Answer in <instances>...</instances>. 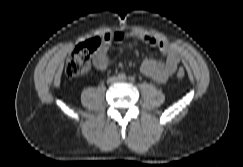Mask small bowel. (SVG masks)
<instances>
[{"label": "small bowel", "mask_w": 243, "mask_h": 167, "mask_svg": "<svg viewBox=\"0 0 243 167\" xmlns=\"http://www.w3.org/2000/svg\"><path fill=\"white\" fill-rule=\"evenodd\" d=\"M130 36L124 32H108L103 35V43L94 56V65L98 70L104 71L110 66L108 51L112 44L124 41ZM137 36L145 43L153 45L165 56V61L146 59L141 65L143 75L158 83H165L177 70L179 55L176 49L170 44L152 35L138 33Z\"/></svg>", "instance_id": "1"}]
</instances>
